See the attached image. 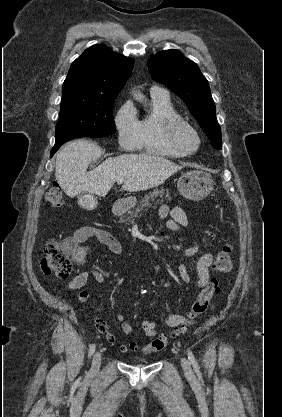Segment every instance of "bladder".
I'll list each match as a JSON object with an SVG mask.
<instances>
[{"instance_id": "1", "label": "bladder", "mask_w": 282, "mask_h": 417, "mask_svg": "<svg viewBox=\"0 0 282 417\" xmlns=\"http://www.w3.org/2000/svg\"><path fill=\"white\" fill-rule=\"evenodd\" d=\"M137 362L143 363L144 361H142V360H138Z\"/></svg>"}]
</instances>
